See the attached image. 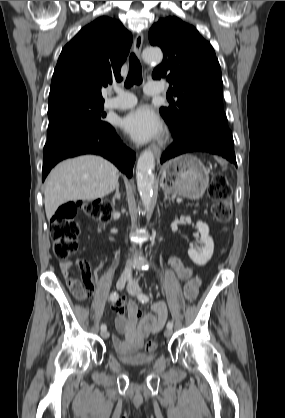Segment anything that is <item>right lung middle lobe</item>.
Masks as SVG:
<instances>
[{
    "label": "right lung middle lobe",
    "mask_w": 285,
    "mask_h": 418,
    "mask_svg": "<svg viewBox=\"0 0 285 418\" xmlns=\"http://www.w3.org/2000/svg\"><path fill=\"white\" fill-rule=\"evenodd\" d=\"M104 102L73 100L49 105L47 141L76 129H103L110 124L103 118Z\"/></svg>",
    "instance_id": "obj_1"
}]
</instances>
